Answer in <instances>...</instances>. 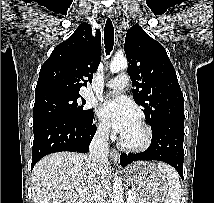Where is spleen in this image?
I'll list each match as a JSON object with an SVG mask.
<instances>
[{
  "label": "spleen",
  "instance_id": "spleen-1",
  "mask_svg": "<svg viewBox=\"0 0 214 203\" xmlns=\"http://www.w3.org/2000/svg\"><path fill=\"white\" fill-rule=\"evenodd\" d=\"M158 168L166 175L169 189L165 203H181L182 189L177 172L166 164H158Z\"/></svg>",
  "mask_w": 214,
  "mask_h": 203
}]
</instances>
